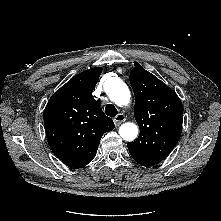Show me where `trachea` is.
<instances>
[{"label": "trachea", "mask_w": 221, "mask_h": 221, "mask_svg": "<svg viewBox=\"0 0 221 221\" xmlns=\"http://www.w3.org/2000/svg\"><path fill=\"white\" fill-rule=\"evenodd\" d=\"M105 113L108 116L113 117V116H116L118 114V111H117V109L114 105L107 104L106 107H105Z\"/></svg>", "instance_id": "obj_1"}]
</instances>
